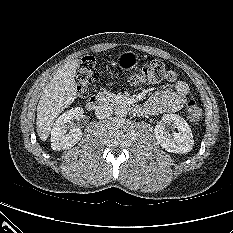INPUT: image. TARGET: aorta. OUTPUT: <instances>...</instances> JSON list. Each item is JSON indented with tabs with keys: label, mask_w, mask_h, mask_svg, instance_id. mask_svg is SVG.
I'll return each mask as SVG.
<instances>
[{
	"label": "aorta",
	"mask_w": 233,
	"mask_h": 233,
	"mask_svg": "<svg viewBox=\"0 0 233 233\" xmlns=\"http://www.w3.org/2000/svg\"><path fill=\"white\" fill-rule=\"evenodd\" d=\"M115 114L119 117L126 116L127 108L124 105H118L115 107Z\"/></svg>",
	"instance_id": "aorta-1"
}]
</instances>
